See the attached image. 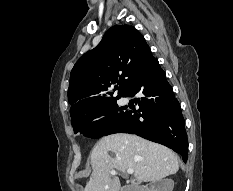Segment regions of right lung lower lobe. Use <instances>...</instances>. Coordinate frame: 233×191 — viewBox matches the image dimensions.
Segmentation results:
<instances>
[{
  "label": "right lung lower lobe",
  "instance_id": "1",
  "mask_svg": "<svg viewBox=\"0 0 233 191\" xmlns=\"http://www.w3.org/2000/svg\"><path fill=\"white\" fill-rule=\"evenodd\" d=\"M135 95H139L135 99L138 111H126L105 135L136 134L173 149L186 162L188 143L180 104L166 80L165 72L153 56L125 96Z\"/></svg>",
  "mask_w": 233,
  "mask_h": 191
}]
</instances>
